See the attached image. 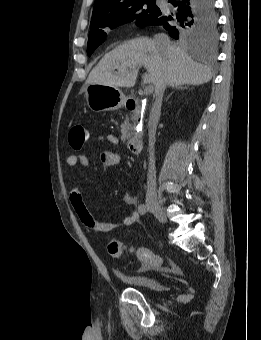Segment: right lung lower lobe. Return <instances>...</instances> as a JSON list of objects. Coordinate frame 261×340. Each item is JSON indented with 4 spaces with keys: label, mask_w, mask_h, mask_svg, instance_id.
<instances>
[{
    "label": "right lung lower lobe",
    "mask_w": 261,
    "mask_h": 340,
    "mask_svg": "<svg viewBox=\"0 0 261 340\" xmlns=\"http://www.w3.org/2000/svg\"><path fill=\"white\" fill-rule=\"evenodd\" d=\"M171 10H160L157 17L153 19L150 25H161L169 35L175 39V24L189 16L191 13L199 15L216 14L214 0H168Z\"/></svg>",
    "instance_id": "right-lung-lower-lobe-1"
}]
</instances>
